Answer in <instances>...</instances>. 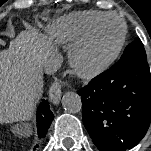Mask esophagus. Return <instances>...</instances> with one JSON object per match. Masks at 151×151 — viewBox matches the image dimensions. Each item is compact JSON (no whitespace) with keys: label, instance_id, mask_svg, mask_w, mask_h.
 <instances>
[{"label":"esophagus","instance_id":"esophagus-1","mask_svg":"<svg viewBox=\"0 0 151 151\" xmlns=\"http://www.w3.org/2000/svg\"><path fill=\"white\" fill-rule=\"evenodd\" d=\"M62 92H61V84L59 81H56L51 84L49 88V97L53 104H58L61 98Z\"/></svg>","mask_w":151,"mask_h":151}]
</instances>
